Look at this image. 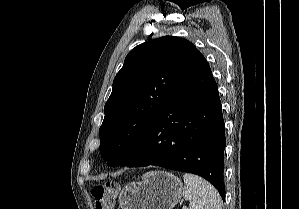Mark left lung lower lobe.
Instances as JSON below:
<instances>
[{"label":"left lung lower lobe","instance_id":"left-lung-lower-lobe-1","mask_svg":"<svg viewBox=\"0 0 299 209\" xmlns=\"http://www.w3.org/2000/svg\"><path fill=\"white\" fill-rule=\"evenodd\" d=\"M225 146L218 87L207 65L163 104L125 165L197 174L212 183L224 200Z\"/></svg>","mask_w":299,"mask_h":209}]
</instances>
